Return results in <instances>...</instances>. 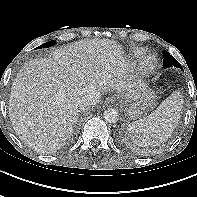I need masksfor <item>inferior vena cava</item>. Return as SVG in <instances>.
I'll list each match as a JSON object with an SVG mask.
<instances>
[{"mask_svg": "<svg viewBox=\"0 0 197 197\" xmlns=\"http://www.w3.org/2000/svg\"><path fill=\"white\" fill-rule=\"evenodd\" d=\"M99 98V93H90L89 95L85 96L80 103L81 110H85L89 106L97 104V102H99Z\"/></svg>", "mask_w": 197, "mask_h": 197, "instance_id": "602c4592", "label": "inferior vena cava"}]
</instances>
